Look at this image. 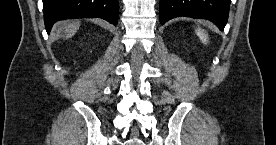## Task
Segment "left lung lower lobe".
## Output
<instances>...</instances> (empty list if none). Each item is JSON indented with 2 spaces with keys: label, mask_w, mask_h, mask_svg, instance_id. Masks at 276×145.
<instances>
[{
  "label": "left lung lower lobe",
  "mask_w": 276,
  "mask_h": 145,
  "mask_svg": "<svg viewBox=\"0 0 276 145\" xmlns=\"http://www.w3.org/2000/svg\"><path fill=\"white\" fill-rule=\"evenodd\" d=\"M229 6L230 0H160V23L179 16L205 18L223 30Z\"/></svg>",
  "instance_id": "obj_1"
}]
</instances>
